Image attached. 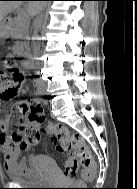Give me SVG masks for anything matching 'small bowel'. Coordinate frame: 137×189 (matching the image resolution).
<instances>
[{
  "label": "small bowel",
  "mask_w": 137,
  "mask_h": 189,
  "mask_svg": "<svg viewBox=\"0 0 137 189\" xmlns=\"http://www.w3.org/2000/svg\"><path fill=\"white\" fill-rule=\"evenodd\" d=\"M20 86V85H19ZM27 106L26 102H22L19 106L20 121L19 125L27 126L28 122L25 118L24 107ZM13 111L7 110L0 116V148L3 153L4 166L8 171H19L27 167V162L20 159V153L28 148V145L16 140L13 134H9ZM33 159V156H30Z\"/></svg>",
  "instance_id": "obj_1"
}]
</instances>
